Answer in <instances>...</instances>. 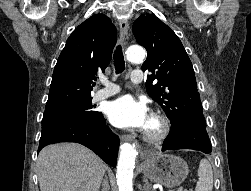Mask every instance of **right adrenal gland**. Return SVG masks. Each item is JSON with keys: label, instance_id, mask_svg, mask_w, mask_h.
<instances>
[{"label": "right adrenal gland", "instance_id": "1", "mask_svg": "<svg viewBox=\"0 0 251 191\" xmlns=\"http://www.w3.org/2000/svg\"><path fill=\"white\" fill-rule=\"evenodd\" d=\"M102 185H103L102 191H107V189H108V179H107L106 175H105V179H104Z\"/></svg>", "mask_w": 251, "mask_h": 191}]
</instances>
